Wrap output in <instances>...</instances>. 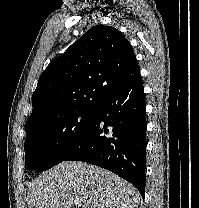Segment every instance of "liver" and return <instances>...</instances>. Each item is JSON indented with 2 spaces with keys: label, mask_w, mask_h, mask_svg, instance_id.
<instances>
[{
  "label": "liver",
  "mask_w": 199,
  "mask_h": 208,
  "mask_svg": "<svg viewBox=\"0 0 199 208\" xmlns=\"http://www.w3.org/2000/svg\"><path fill=\"white\" fill-rule=\"evenodd\" d=\"M140 194L114 173L80 161H64L29 186V208H136Z\"/></svg>",
  "instance_id": "1"
}]
</instances>
